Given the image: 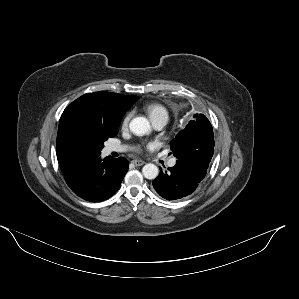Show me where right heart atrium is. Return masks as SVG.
<instances>
[{"mask_svg": "<svg viewBox=\"0 0 299 299\" xmlns=\"http://www.w3.org/2000/svg\"><path fill=\"white\" fill-rule=\"evenodd\" d=\"M130 117H131L130 113L125 115V117L122 120V126H126L128 124Z\"/></svg>", "mask_w": 299, "mask_h": 299, "instance_id": "1", "label": "right heart atrium"}]
</instances>
